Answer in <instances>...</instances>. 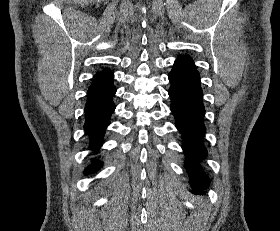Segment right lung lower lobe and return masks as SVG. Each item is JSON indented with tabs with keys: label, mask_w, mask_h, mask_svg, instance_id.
<instances>
[{
	"label": "right lung lower lobe",
	"mask_w": 280,
	"mask_h": 231,
	"mask_svg": "<svg viewBox=\"0 0 280 231\" xmlns=\"http://www.w3.org/2000/svg\"><path fill=\"white\" fill-rule=\"evenodd\" d=\"M115 87L106 89L94 95L87 96L85 104V124L84 129L89 135L90 149H99L106 127L109 125L110 117L115 109L112 97L115 94ZM102 166V162L94 160L85 172L86 174L97 171Z\"/></svg>",
	"instance_id": "obj_1"
}]
</instances>
